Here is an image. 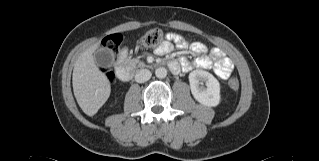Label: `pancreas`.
Masks as SVG:
<instances>
[{"instance_id": "pancreas-1", "label": "pancreas", "mask_w": 319, "mask_h": 161, "mask_svg": "<svg viewBox=\"0 0 319 161\" xmlns=\"http://www.w3.org/2000/svg\"><path fill=\"white\" fill-rule=\"evenodd\" d=\"M129 64L133 67V68H142L145 67V63L143 61H140L138 58H133L129 60Z\"/></svg>"}]
</instances>
